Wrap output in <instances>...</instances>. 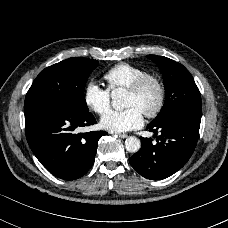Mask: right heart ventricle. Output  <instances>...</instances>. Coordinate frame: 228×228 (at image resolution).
Listing matches in <instances>:
<instances>
[{
	"label": "right heart ventricle",
	"mask_w": 228,
	"mask_h": 228,
	"mask_svg": "<svg viewBox=\"0 0 228 228\" xmlns=\"http://www.w3.org/2000/svg\"><path fill=\"white\" fill-rule=\"evenodd\" d=\"M148 72L136 65L119 63L108 69L104 78L109 83V89L115 92L118 89H127L137 78Z\"/></svg>",
	"instance_id": "e07e8e85"
}]
</instances>
